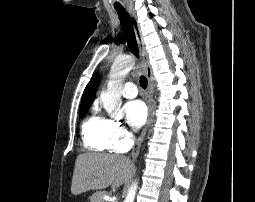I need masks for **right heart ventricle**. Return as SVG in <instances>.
<instances>
[{
  "instance_id": "right-heart-ventricle-1",
  "label": "right heart ventricle",
  "mask_w": 255,
  "mask_h": 202,
  "mask_svg": "<svg viewBox=\"0 0 255 202\" xmlns=\"http://www.w3.org/2000/svg\"><path fill=\"white\" fill-rule=\"evenodd\" d=\"M109 126L110 120L93 111L82 125L84 145L93 151H106L111 149Z\"/></svg>"
}]
</instances>
